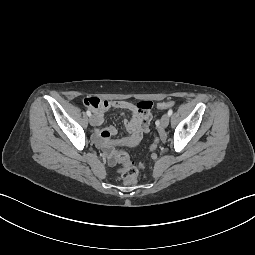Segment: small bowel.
<instances>
[{
	"label": "small bowel",
	"mask_w": 255,
	"mask_h": 255,
	"mask_svg": "<svg viewBox=\"0 0 255 255\" xmlns=\"http://www.w3.org/2000/svg\"><path fill=\"white\" fill-rule=\"evenodd\" d=\"M93 101L92 104L86 105L91 108L96 118V126H100L104 121L105 112L110 108H117L129 113V117L125 119V126L129 132V136L118 144H124L129 147L137 145L144 132L148 130V124L151 119L152 103L139 102L130 103L127 101H109L96 97L88 98ZM116 133L114 127L98 128L95 131L96 142L105 150L108 163L114 166L117 163L113 144L110 141L111 136Z\"/></svg>",
	"instance_id": "obj_1"
}]
</instances>
